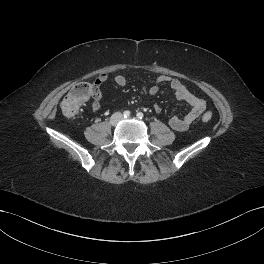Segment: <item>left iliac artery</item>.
Returning <instances> with one entry per match:
<instances>
[{
  "label": "left iliac artery",
  "mask_w": 264,
  "mask_h": 264,
  "mask_svg": "<svg viewBox=\"0 0 264 264\" xmlns=\"http://www.w3.org/2000/svg\"><path fill=\"white\" fill-rule=\"evenodd\" d=\"M137 117H138L139 119H142V118L144 117V115H143L142 112H138V113H137Z\"/></svg>",
  "instance_id": "left-iliac-artery-1"
}]
</instances>
